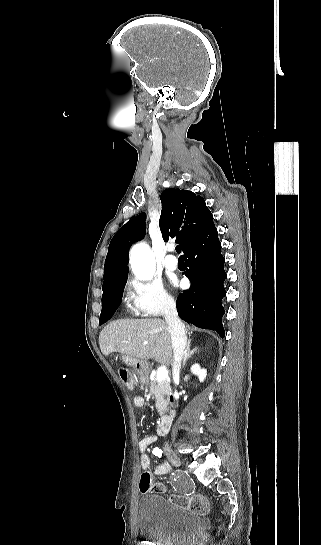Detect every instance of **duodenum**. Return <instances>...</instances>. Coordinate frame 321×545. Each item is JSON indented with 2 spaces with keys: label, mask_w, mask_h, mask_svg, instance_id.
Wrapping results in <instances>:
<instances>
[{
  "label": "duodenum",
  "mask_w": 321,
  "mask_h": 545,
  "mask_svg": "<svg viewBox=\"0 0 321 545\" xmlns=\"http://www.w3.org/2000/svg\"><path fill=\"white\" fill-rule=\"evenodd\" d=\"M173 417H174V412H170L169 414L164 415L160 419L158 427H157V433L159 435H165L168 433Z\"/></svg>",
  "instance_id": "1"
}]
</instances>
